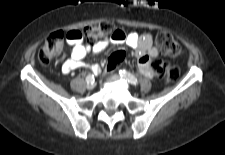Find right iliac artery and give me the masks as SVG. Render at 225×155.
Here are the masks:
<instances>
[{
  "label": "right iliac artery",
  "mask_w": 225,
  "mask_h": 155,
  "mask_svg": "<svg viewBox=\"0 0 225 155\" xmlns=\"http://www.w3.org/2000/svg\"><path fill=\"white\" fill-rule=\"evenodd\" d=\"M86 82H87V83H88V82H94V75H92V74L87 75V77H86Z\"/></svg>",
  "instance_id": "82829eb1"
}]
</instances>
